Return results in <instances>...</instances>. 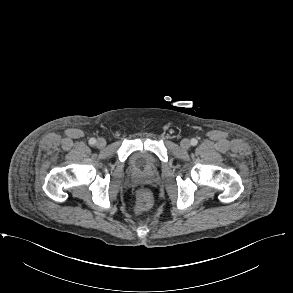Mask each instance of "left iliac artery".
Wrapping results in <instances>:
<instances>
[{
  "mask_svg": "<svg viewBox=\"0 0 293 293\" xmlns=\"http://www.w3.org/2000/svg\"><path fill=\"white\" fill-rule=\"evenodd\" d=\"M197 143H198V141L195 138L191 139V145L192 146H196Z\"/></svg>",
  "mask_w": 293,
  "mask_h": 293,
  "instance_id": "left-iliac-artery-1",
  "label": "left iliac artery"
}]
</instances>
